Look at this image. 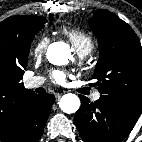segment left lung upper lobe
<instances>
[{"mask_svg": "<svg viewBox=\"0 0 142 142\" xmlns=\"http://www.w3.org/2000/svg\"><path fill=\"white\" fill-rule=\"evenodd\" d=\"M89 25L99 43L93 74L101 98L142 111V47L132 28L108 10H95ZM92 85V84H91Z\"/></svg>", "mask_w": 142, "mask_h": 142, "instance_id": "obj_1", "label": "left lung upper lobe"}]
</instances>
